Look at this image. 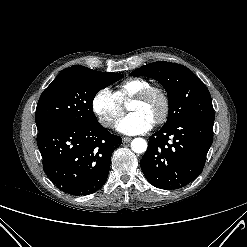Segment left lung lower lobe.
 Returning <instances> with one entry per match:
<instances>
[{"mask_svg":"<svg viewBox=\"0 0 247 247\" xmlns=\"http://www.w3.org/2000/svg\"><path fill=\"white\" fill-rule=\"evenodd\" d=\"M213 142V124L184 119L163 126L150 137L140 161L146 179L161 189H178L202 172Z\"/></svg>","mask_w":247,"mask_h":247,"instance_id":"1","label":"left lung lower lobe"}]
</instances>
